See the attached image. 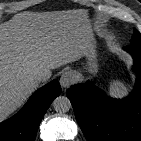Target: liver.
<instances>
[{
  "label": "liver",
  "mask_w": 141,
  "mask_h": 141,
  "mask_svg": "<svg viewBox=\"0 0 141 141\" xmlns=\"http://www.w3.org/2000/svg\"><path fill=\"white\" fill-rule=\"evenodd\" d=\"M91 36L83 10L21 12L0 24V120L39 86L34 74L83 56Z\"/></svg>",
  "instance_id": "obj_1"
}]
</instances>
